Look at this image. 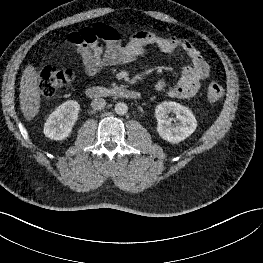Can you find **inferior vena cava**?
I'll use <instances>...</instances> for the list:
<instances>
[{
	"mask_svg": "<svg viewBox=\"0 0 263 263\" xmlns=\"http://www.w3.org/2000/svg\"><path fill=\"white\" fill-rule=\"evenodd\" d=\"M106 106V101L103 98H95L91 102V107L94 110H102Z\"/></svg>",
	"mask_w": 263,
	"mask_h": 263,
	"instance_id": "inferior-vena-cava-1",
	"label": "inferior vena cava"
}]
</instances>
